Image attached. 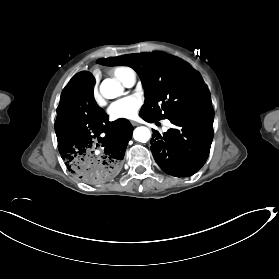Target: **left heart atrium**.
<instances>
[{
  "label": "left heart atrium",
  "mask_w": 279,
  "mask_h": 279,
  "mask_svg": "<svg viewBox=\"0 0 279 279\" xmlns=\"http://www.w3.org/2000/svg\"><path fill=\"white\" fill-rule=\"evenodd\" d=\"M141 106L142 99L138 96L130 95L112 103L108 108V115L112 120L134 119Z\"/></svg>",
  "instance_id": "left-heart-atrium-1"
}]
</instances>
